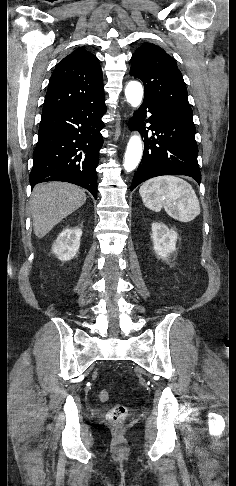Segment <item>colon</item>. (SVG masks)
Wrapping results in <instances>:
<instances>
[{"label":"colon","instance_id":"obj_1","mask_svg":"<svg viewBox=\"0 0 236 486\" xmlns=\"http://www.w3.org/2000/svg\"><path fill=\"white\" fill-rule=\"evenodd\" d=\"M97 398L101 402H105L109 399V392L107 390H101L97 394ZM128 414V410L123 405H116L110 409L108 412V419L111 423L115 425H121Z\"/></svg>","mask_w":236,"mask_h":486}]
</instances>
